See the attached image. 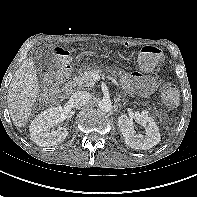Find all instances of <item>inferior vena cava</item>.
Here are the masks:
<instances>
[{
    "instance_id": "1",
    "label": "inferior vena cava",
    "mask_w": 197,
    "mask_h": 197,
    "mask_svg": "<svg viewBox=\"0 0 197 197\" xmlns=\"http://www.w3.org/2000/svg\"><path fill=\"white\" fill-rule=\"evenodd\" d=\"M90 99V94L86 91H77L70 97L69 103L75 107H81L85 105Z\"/></svg>"
}]
</instances>
